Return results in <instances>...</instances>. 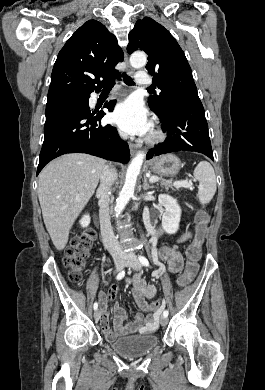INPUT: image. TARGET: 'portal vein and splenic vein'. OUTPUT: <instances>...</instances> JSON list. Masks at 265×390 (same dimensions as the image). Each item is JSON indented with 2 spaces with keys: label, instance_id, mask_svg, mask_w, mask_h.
<instances>
[{
  "label": "portal vein and splenic vein",
  "instance_id": "18ae733b",
  "mask_svg": "<svg viewBox=\"0 0 265 390\" xmlns=\"http://www.w3.org/2000/svg\"><path fill=\"white\" fill-rule=\"evenodd\" d=\"M158 179H159V178H158L157 176H151V177L149 178V181H150L151 183H154V182H157ZM175 185H176V186H183V187H185V188H191L192 183H191V182H188V181H186V180H184V181H176V182H175Z\"/></svg>",
  "mask_w": 265,
  "mask_h": 390
}]
</instances>
